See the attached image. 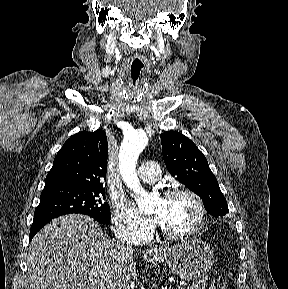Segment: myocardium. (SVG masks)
I'll list each match as a JSON object with an SVG mask.
<instances>
[{"instance_id":"f54148a6","label":"myocardium","mask_w":288,"mask_h":289,"mask_svg":"<svg viewBox=\"0 0 288 289\" xmlns=\"http://www.w3.org/2000/svg\"><path fill=\"white\" fill-rule=\"evenodd\" d=\"M179 196H188L190 197L196 204L198 210V217L194 225L185 232H171L167 230L163 225L158 224L159 232L168 239L171 240H185L194 237L198 234V232L202 229L206 220V209L202 198L193 190L188 188H176L167 191L163 195L164 200H168L171 198L179 197Z\"/></svg>"}]
</instances>
